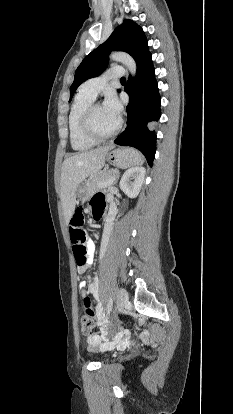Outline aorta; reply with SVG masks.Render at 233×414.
<instances>
[{"mask_svg":"<svg viewBox=\"0 0 233 414\" xmlns=\"http://www.w3.org/2000/svg\"><path fill=\"white\" fill-rule=\"evenodd\" d=\"M110 59L122 63L133 76L136 74L137 65L129 54L124 52H113L110 55Z\"/></svg>","mask_w":233,"mask_h":414,"instance_id":"762f6f07","label":"aorta"}]
</instances>
